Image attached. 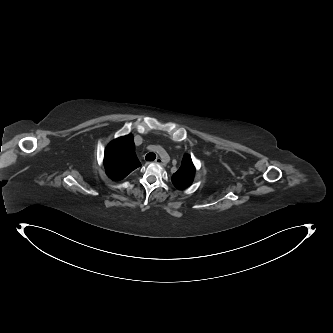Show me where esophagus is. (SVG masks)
Listing matches in <instances>:
<instances>
[{"label": "esophagus", "instance_id": "esophagus-1", "mask_svg": "<svg viewBox=\"0 0 333 333\" xmlns=\"http://www.w3.org/2000/svg\"><path fill=\"white\" fill-rule=\"evenodd\" d=\"M155 162L157 164H160V165H165L166 164L165 161L162 158H160V157H157L156 160H155Z\"/></svg>", "mask_w": 333, "mask_h": 333}]
</instances>
